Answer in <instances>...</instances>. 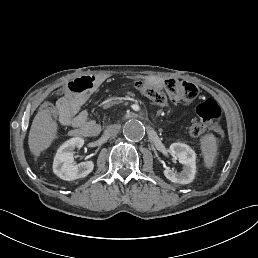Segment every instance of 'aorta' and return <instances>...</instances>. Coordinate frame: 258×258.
<instances>
[{
	"label": "aorta",
	"mask_w": 258,
	"mask_h": 258,
	"mask_svg": "<svg viewBox=\"0 0 258 258\" xmlns=\"http://www.w3.org/2000/svg\"><path fill=\"white\" fill-rule=\"evenodd\" d=\"M123 135L129 141L138 142L145 135V128L138 120H130L123 127Z\"/></svg>",
	"instance_id": "obj_1"
}]
</instances>
